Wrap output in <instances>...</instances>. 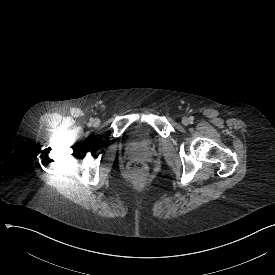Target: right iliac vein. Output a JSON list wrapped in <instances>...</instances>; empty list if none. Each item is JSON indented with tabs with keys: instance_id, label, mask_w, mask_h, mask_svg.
<instances>
[{
	"instance_id": "1",
	"label": "right iliac vein",
	"mask_w": 275,
	"mask_h": 275,
	"mask_svg": "<svg viewBox=\"0 0 275 275\" xmlns=\"http://www.w3.org/2000/svg\"><path fill=\"white\" fill-rule=\"evenodd\" d=\"M99 125H100V121H99V120H95V121H94V126H95V127H98Z\"/></svg>"
}]
</instances>
